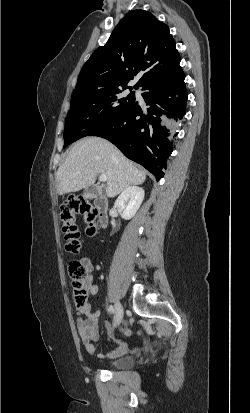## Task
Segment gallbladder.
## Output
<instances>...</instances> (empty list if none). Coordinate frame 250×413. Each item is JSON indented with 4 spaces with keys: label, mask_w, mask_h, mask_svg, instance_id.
Masks as SVG:
<instances>
[{
    "label": "gallbladder",
    "mask_w": 250,
    "mask_h": 413,
    "mask_svg": "<svg viewBox=\"0 0 250 413\" xmlns=\"http://www.w3.org/2000/svg\"><path fill=\"white\" fill-rule=\"evenodd\" d=\"M94 193H95V188H94V186H89V187L85 188L83 194H84V197H85L86 199H90V198H93Z\"/></svg>",
    "instance_id": "1"
}]
</instances>
